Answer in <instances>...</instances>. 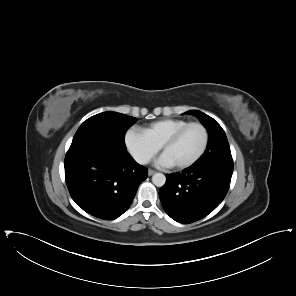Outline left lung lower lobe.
<instances>
[{"instance_id":"obj_1","label":"left lung lower lobe","mask_w":296,"mask_h":296,"mask_svg":"<svg viewBox=\"0 0 296 296\" xmlns=\"http://www.w3.org/2000/svg\"><path fill=\"white\" fill-rule=\"evenodd\" d=\"M233 173V163H194L181 173L166 175L159 197L166 213L188 224L204 218L224 199Z\"/></svg>"}]
</instances>
